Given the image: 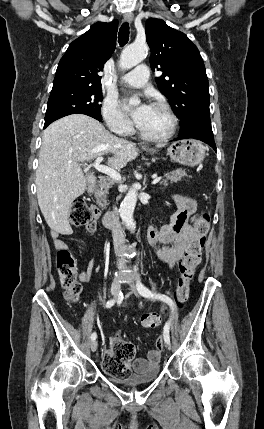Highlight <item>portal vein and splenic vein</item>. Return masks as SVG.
<instances>
[{"label": "portal vein and splenic vein", "mask_w": 264, "mask_h": 429, "mask_svg": "<svg viewBox=\"0 0 264 429\" xmlns=\"http://www.w3.org/2000/svg\"><path fill=\"white\" fill-rule=\"evenodd\" d=\"M102 160H103V157H101V156L97 157L95 163L93 164V167L96 170H98L99 172H102V173L108 175L109 177L113 178L114 180L120 181L121 180V174L111 167L100 164ZM160 180H161V177H155L152 181V184H156Z\"/></svg>", "instance_id": "portal-vein-and-splenic-vein-1"}]
</instances>
